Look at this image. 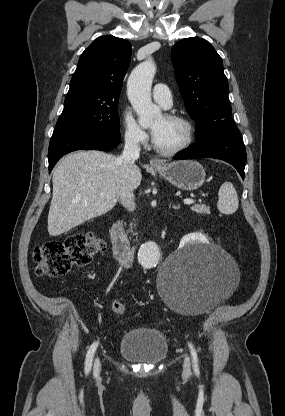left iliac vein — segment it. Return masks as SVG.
<instances>
[{"mask_svg": "<svg viewBox=\"0 0 285 416\" xmlns=\"http://www.w3.org/2000/svg\"><path fill=\"white\" fill-rule=\"evenodd\" d=\"M183 372L185 375H189L191 373V363H190V358L189 357H185L184 359V363H183Z\"/></svg>", "mask_w": 285, "mask_h": 416, "instance_id": "obj_1", "label": "left iliac vein"}]
</instances>
